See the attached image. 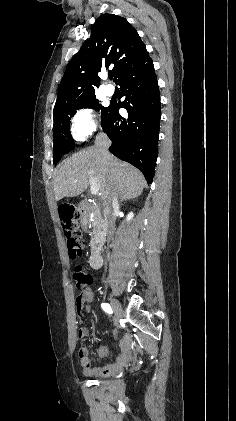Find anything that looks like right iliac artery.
Segmentation results:
<instances>
[{"label": "right iliac artery", "mask_w": 236, "mask_h": 421, "mask_svg": "<svg viewBox=\"0 0 236 421\" xmlns=\"http://www.w3.org/2000/svg\"><path fill=\"white\" fill-rule=\"evenodd\" d=\"M101 307H102V309H103L105 312H107V313H109V314H112V313H113L112 308H111V306H110L109 304H107V303H102V304H101Z\"/></svg>", "instance_id": "right-iliac-artery-1"}]
</instances>
